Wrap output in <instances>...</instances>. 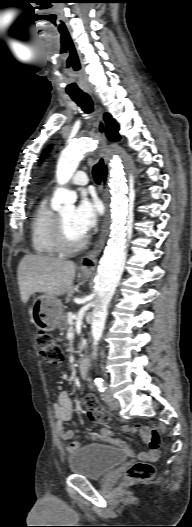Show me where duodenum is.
Here are the masks:
<instances>
[{
	"label": "duodenum",
	"instance_id": "obj_1",
	"mask_svg": "<svg viewBox=\"0 0 192 527\" xmlns=\"http://www.w3.org/2000/svg\"><path fill=\"white\" fill-rule=\"evenodd\" d=\"M79 374L82 378H86L88 376V373H89V369H90V362L88 359L84 358L80 361L79 363Z\"/></svg>",
	"mask_w": 192,
	"mask_h": 527
}]
</instances>
